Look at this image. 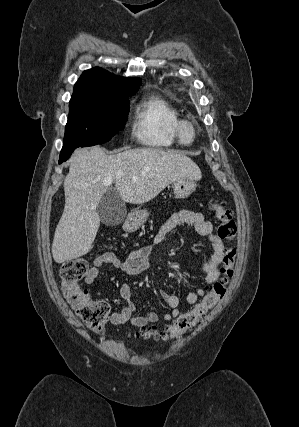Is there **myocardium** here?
<instances>
[{"mask_svg": "<svg viewBox=\"0 0 299 427\" xmlns=\"http://www.w3.org/2000/svg\"><path fill=\"white\" fill-rule=\"evenodd\" d=\"M189 128L191 131V137L189 139L184 136V129ZM173 133L176 140L182 145L192 144L197 137V127L192 120L179 118L173 126Z\"/></svg>", "mask_w": 299, "mask_h": 427, "instance_id": "obj_1", "label": "myocardium"}]
</instances>
